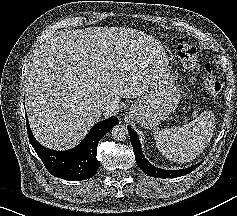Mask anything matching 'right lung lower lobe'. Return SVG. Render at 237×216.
I'll return each mask as SVG.
<instances>
[{
    "instance_id": "right-lung-lower-lobe-1",
    "label": "right lung lower lobe",
    "mask_w": 237,
    "mask_h": 216,
    "mask_svg": "<svg viewBox=\"0 0 237 216\" xmlns=\"http://www.w3.org/2000/svg\"><path fill=\"white\" fill-rule=\"evenodd\" d=\"M26 123L29 141L46 169L53 176L81 181L91 178L97 172L100 166L96 158L99 140L118 124L119 120L117 117H111L97 123L79 145L67 151H55L43 147L34 138L27 116Z\"/></svg>"
}]
</instances>
